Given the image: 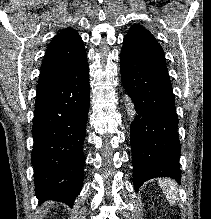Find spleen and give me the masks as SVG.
I'll return each instance as SVG.
<instances>
[{
  "mask_svg": "<svg viewBox=\"0 0 211 219\" xmlns=\"http://www.w3.org/2000/svg\"><path fill=\"white\" fill-rule=\"evenodd\" d=\"M159 185L163 190V193L166 195L167 200L171 205H175L179 200L177 184L171 179H162L159 180Z\"/></svg>",
  "mask_w": 211,
  "mask_h": 219,
  "instance_id": "spleen-1",
  "label": "spleen"
}]
</instances>
